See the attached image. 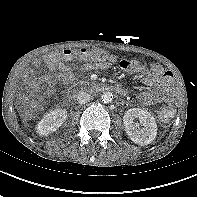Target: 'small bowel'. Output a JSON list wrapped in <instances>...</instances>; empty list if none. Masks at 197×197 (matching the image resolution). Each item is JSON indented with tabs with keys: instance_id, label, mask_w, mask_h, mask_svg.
<instances>
[{
	"instance_id": "c3829d8e",
	"label": "small bowel",
	"mask_w": 197,
	"mask_h": 197,
	"mask_svg": "<svg viewBox=\"0 0 197 197\" xmlns=\"http://www.w3.org/2000/svg\"><path fill=\"white\" fill-rule=\"evenodd\" d=\"M130 66L124 68L129 73H138L142 76V83L147 90L141 92L138 99L142 105L149 106L157 103H163L172 99V75L165 71L159 64H152L145 67L136 60H128ZM36 64L40 65L41 61ZM48 74L44 77V81L50 86L58 80L70 81L72 79L73 66L64 64L60 61H51L49 58L46 62ZM107 67L105 62L86 63L83 65L84 70L93 68L104 69Z\"/></svg>"
}]
</instances>
